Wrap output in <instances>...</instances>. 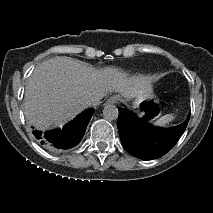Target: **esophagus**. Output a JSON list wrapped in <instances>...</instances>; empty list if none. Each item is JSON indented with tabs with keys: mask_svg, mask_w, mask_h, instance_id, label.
Returning a JSON list of instances; mask_svg holds the SVG:
<instances>
[{
	"mask_svg": "<svg viewBox=\"0 0 213 213\" xmlns=\"http://www.w3.org/2000/svg\"><path fill=\"white\" fill-rule=\"evenodd\" d=\"M118 102V99L116 96L111 97L110 99L107 100L108 104H116Z\"/></svg>",
	"mask_w": 213,
	"mask_h": 213,
	"instance_id": "34e87169",
	"label": "esophagus"
}]
</instances>
